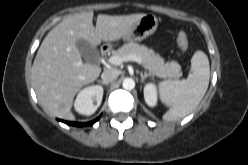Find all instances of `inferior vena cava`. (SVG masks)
I'll use <instances>...</instances> for the list:
<instances>
[{
  "label": "inferior vena cava",
  "instance_id": "obj_1",
  "mask_svg": "<svg viewBox=\"0 0 248 165\" xmlns=\"http://www.w3.org/2000/svg\"><path fill=\"white\" fill-rule=\"evenodd\" d=\"M120 72L116 69H105L101 74V78L104 82H111L119 76Z\"/></svg>",
  "mask_w": 248,
  "mask_h": 165
}]
</instances>
